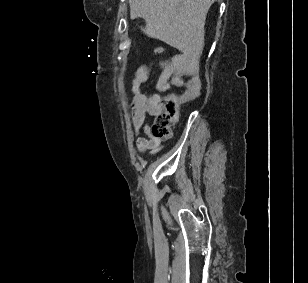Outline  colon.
Instances as JSON below:
<instances>
[{
	"label": "colon",
	"instance_id": "obj_1",
	"mask_svg": "<svg viewBox=\"0 0 308 283\" xmlns=\"http://www.w3.org/2000/svg\"><path fill=\"white\" fill-rule=\"evenodd\" d=\"M202 85L201 67L198 58L194 59L188 85L180 94H169L159 100L160 110L151 126V135L158 139H169L171 128L178 118L179 107L193 100L200 92Z\"/></svg>",
	"mask_w": 308,
	"mask_h": 283
}]
</instances>
